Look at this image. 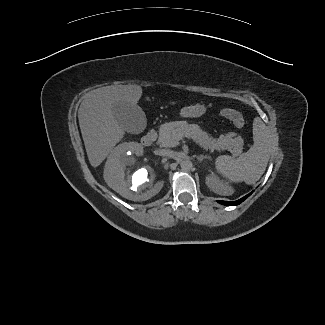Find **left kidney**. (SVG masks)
<instances>
[{"label":"left kidney","mask_w":325,"mask_h":325,"mask_svg":"<svg viewBox=\"0 0 325 325\" xmlns=\"http://www.w3.org/2000/svg\"><path fill=\"white\" fill-rule=\"evenodd\" d=\"M206 184L213 192L219 195H231L233 193V189L219 181L213 173L206 177Z\"/></svg>","instance_id":"1"}]
</instances>
